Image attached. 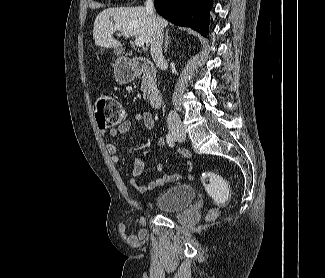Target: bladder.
<instances>
[{
    "label": "bladder",
    "mask_w": 325,
    "mask_h": 278,
    "mask_svg": "<svg viewBox=\"0 0 325 278\" xmlns=\"http://www.w3.org/2000/svg\"><path fill=\"white\" fill-rule=\"evenodd\" d=\"M195 190L188 184H175L162 190L154 200V207L165 214L181 211L192 204Z\"/></svg>",
    "instance_id": "bladder-1"
}]
</instances>
